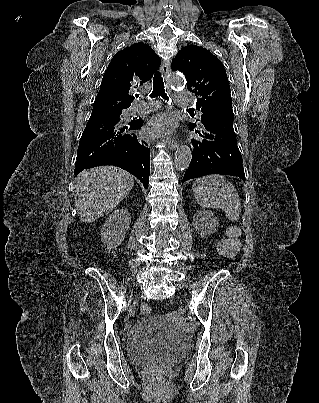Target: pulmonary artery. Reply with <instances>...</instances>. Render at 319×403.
Listing matches in <instances>:
<instances>
[{"mask_svg":"<svg viewBox=\"0 0 319 403\" xmlns=\"http://www.w3.org/2000/svg\"><path fill=\"white\" fill-rule=\"evenodd\" d=\"M176 105L179 108H187L192 106L193 104V96L189 91H179L176 92ZM157 102L155 101H146L144 99L135 102L129 109V113L131 115H137L141 113H145L156 108Z\"/></svg>","mask_w":319,"mask_h":403,"instance_id":"pulmonary-artery-1","label":"pulmonary artery"}]
</instances>
